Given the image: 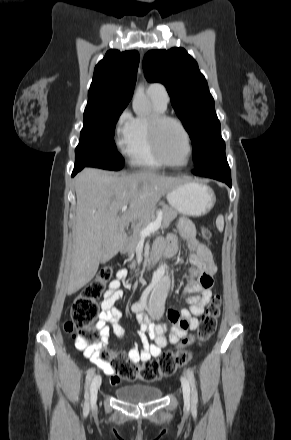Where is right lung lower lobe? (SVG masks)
I'll return each instance as SVG.
<instances>
[{
  "label": "right lung lower lobe",
  "mask_w": 291,
  "mask_h": 440,
  "mask_svg": "<svg viewBox=\"0 0 291 440\" xmlns=\"http://www.w3.org/2000/svg\"><path fill=\"white\" fill-rule=\"evenodd\" d=\"M80 170H82V169H79V168H75L74 167V170H73V173H72V176H74L77 172H79Z\"/></svg>",
  "instance_id": "obj_1"
}]
</instances>
